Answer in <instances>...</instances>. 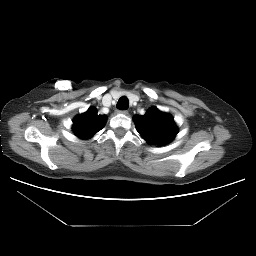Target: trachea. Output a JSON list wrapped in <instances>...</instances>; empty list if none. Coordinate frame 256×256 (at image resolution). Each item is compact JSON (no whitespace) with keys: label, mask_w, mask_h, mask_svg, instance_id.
Instances as JSON below:
<instances>
[{"label":"trachea","mask_w":256,"mask_h":256,"mask_svg":"<svg viewBox=\"0 0 256 256\" xmlns=\"http://www.w3.org/2000/svg\"><path fill=\"white\" fill-rule=\"evenodd\" d=\"M116 107L119 109V110H126L128 109L129 107V100L126 96H122L119 98L117 104H116Z\"/></svg>","instance_id":"1"}]
</instances>
